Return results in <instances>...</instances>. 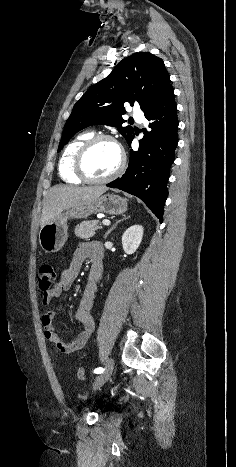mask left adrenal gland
I'll return each mask as SVG.
<instances>
[{
	"instance_id": "obj_1",
	"label": "left adrenal gland",
	"mask_w": 236,
	"mask_h": 467,
	"mask_svg": "<svg viewBox=\"0 0 236 467\" xmlns=\"http://www.w3.org/2000/svg\"><path fill=\"white\" fill-rule=\"evenodd\" d=\"M129 218H130V216H127V217H125L124 219L117 221V222L105 233L104 239H107V236L118 226L119 223H121V222H123V221H125V220H127V219H129Z\"/></svg>"
}]
</instances>
